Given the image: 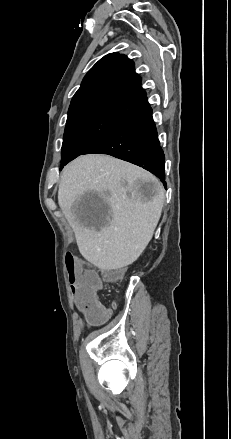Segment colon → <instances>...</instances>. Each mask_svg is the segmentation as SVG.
I'll list each match as a JSON object with an SVG mask.
<instances>
[{
  "mask_svg": "<svg viewBox=\"0 0 231 439\" xmlns=\"http://www.w3.org/2000/svg\"><path fill=\"white\" fill-rule=\"evenodd\" d=\"M75 254V251H72ZM72 254L66 255V267L69 282L75 294V304L70 305L71 313H83L88 320H106L108 309L98 298V281L95 275L89 271L86 259H77ZM121 270H107L104 272L106 281L114 282L122 277ZM75 288V289H74Z\"/></svg>",
  "mask_w": 231,
  "mask_h": 439,
  "instance_id": "colon-1",
  "label": "colon"
}]
</instances>
